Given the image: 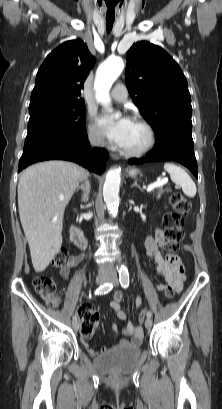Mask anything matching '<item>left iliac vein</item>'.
<instances>
[{"mask_svg":"<svg viewBox=\"0 0 222 409\" xmlns=\"http://www.w3.org/2000/svg\"><path fill=\"white\" fill-rule=\"evenodd\" d=\"M109 281L112 282V283H114V284H117L118 279H117L116 276L112 275V276L109 278ZM152 324H153L152 319H151V318H147L146 321H145V327H146L147 329H150V328L152 327Z\"/></svg>","mask_w":222,"mask_h":409,"instance_id":"1","label":"left iliac vein"}]
</instances>
